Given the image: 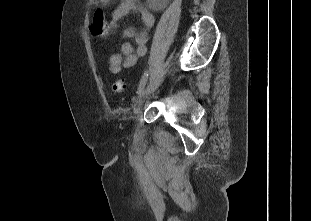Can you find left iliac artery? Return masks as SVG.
Instances as JSON below:
<instances>
[{"label":"left iliac artery","mask_w":311,"mask_h":221,"mask_svg":"<svg viewBox=\"0 0 311 221\" xmlns=\"http://www.w3.org/2000/svg\"><path fill=\"white\" fill-rule=\"evenodd\" d=\"M147 78H148V72L145 71L143 76H142V79L140 81L137 93H140L142 91V89L144 88V86L146 84Z\"/></svg>","instance_id":"left-iliac-artery-1"}]
</instances>
